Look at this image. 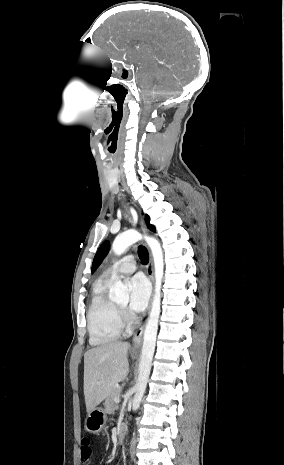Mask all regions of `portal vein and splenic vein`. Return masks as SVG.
<instances>
[{
    "instance_id": "obj_1",
    "label": "portal vein and splenic vein",
    "mask_w": 284,
    "mask_h": 465,
    "mask_svg": "<svg viewBox=\"0 0 284 465\" xmlns=\"http://www.w3.org/2000/svg\"><path fill=\"white\" fill-rule=\"evenodd\" d=\"M114 401H115L116 405H117V403H120V397H119V395H118V397H115Z\"/></svg>"
}]
</instances>
